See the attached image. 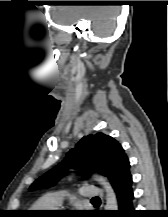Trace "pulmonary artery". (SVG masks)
I'll return each instance as SVG.
<instances>
[{"label": "pulmonary artery", "mask_w": 168, "mask_h": 217, "mask_svg": "<svg viewBox=\"0 0 168 217\" xmlns=\"http://www.w3.org/2000/svg\"><path fill=\"white\" fill-rule=\"evenodd\" d=\"M82 199H94L103 196V190L96 186H85L81 188ZM45 202L54 208L60 206L63 202V194L61 192H51L45 198Z\"/></svg>", "instance_id": "1"}]
</instances>
